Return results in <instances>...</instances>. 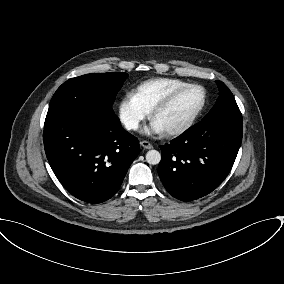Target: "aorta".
Instances as JSON below:
<instances>
[{
	"mask_svg": "<svg viewBox=\"0 0 284 284\" xmlns=\"http://www.w3.org/2000/svg\"><path fill=\"white\" fill-rule=\"evenodd\" d=\"M146 161L150 165L159 164V162L161 161V154H160V152L157 151V150H149L146 153Z\"/></svg>",
	"mask_w": 284,
	"mask_h": 284,
	"instance_id": "762f6f07",
	"label": "aorta"
}]
</instances>
